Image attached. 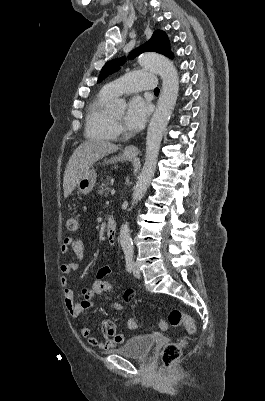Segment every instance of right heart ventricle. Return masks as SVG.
<instances>
[{
    "label": "right heart ventricle",
    "instance_id": "1",
    "mask_svg": "<svg viewBox=\"0 0 265 401\" xmlns=\"http://www.w3.org/2000/svg\"><path fill=\"white\" fill-rule=\"evenodd\" d=\"M115 96L110 94L106 86L101 88L89 101L86 109V134L95 139L113 140L118 130L113 125V117L108 105Z\"/></svg>",
    "mask_w": 265,
    "mask_h": 401
}]
</instances>
